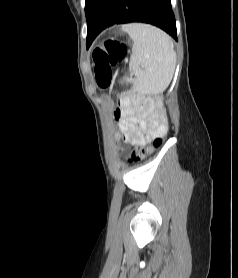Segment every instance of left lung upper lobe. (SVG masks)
Returning <instances> with one entry per match:
<instances>
[{
  "instance_id": "obj_1",
  "label": "left lung upper lobe",
  "mask_w": 238,
  "mask_h": 278,
  "mask_svg": "<svg viewBox=\"0 0 238 278\" xmlns=\"http://www.w3.org/2000/svg\"><path fill=\"white\" fill-rule=\"evenodd\" d=\"M100 1L101 0H86V3H85V14H86V19H87V25H88V22L90 20L91 15L93 14L97 4Z\"/></svg>"
}]
</instances>
